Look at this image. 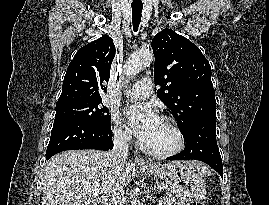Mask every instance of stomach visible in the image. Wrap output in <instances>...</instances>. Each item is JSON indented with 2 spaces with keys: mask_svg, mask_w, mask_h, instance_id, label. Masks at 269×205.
I'll list each match as a JSON object with an SVG mask.
<instances>
[{
  "mask_svg": "<svg viewBox=\"0 0 269 205\" xmlns=\"http://www.w3.org/2000/svg\"><path fill=\"white\" fill-rule=\"evenodd\" d=\"M140 169L150 177L165 180L180 205H191L205 197L206 184L202 175L184 163L147 164Z\"/></svg>",
  "mask_w": 269,
  "mask_h": 205,
  "instance_id": "1",
  "label": "stomach"
}]
</instances>
